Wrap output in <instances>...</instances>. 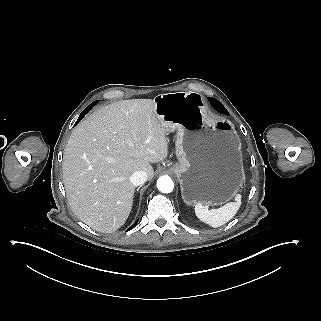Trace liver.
<instances>
[{
	"mask_svg": "<svg viewBox=\"0 0 321 321\" xmlns=\"http://www.w3.org/2000/svg\"><path fill=\"white\" fill-rule=\"evenodd\" d=\"M169 137L152 99L103 107L72 132L63 156L67 198L77 217L99 232L113 233L127 221L135 185L130 176L169 156Z\"/></svg>",
	"mask_w": 321,
	"mask_h": 321,
	"instance_id": "liver-1",
	"label": "liver"
}]
</instances>
